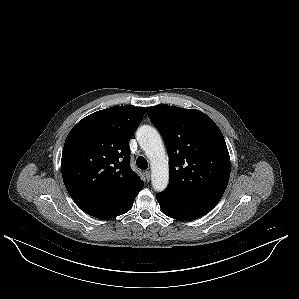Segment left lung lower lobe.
I'll use <instances>...</instances> for the list:
<instances>
[{"label": "left lung lower lobe", "instance_id": "left-lung-lower-lobe-1", "mask_svg": "<svg viewBox=\"0 0 299 299\" xmlns=\"http://www.w3.org/2000/svg\"><path fill=\"white\" fill-rule=\"evenodd\" d=\"M156 198L164 214L167 216L190 221L207 214L220 199L205 196H182L159 193Z\"/></svg>", "mask_w": 299, "mask_h": 299}]
</instances>
